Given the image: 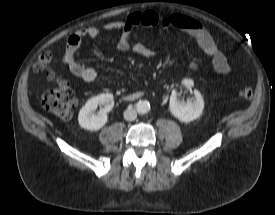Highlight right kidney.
<instances>
[{"mask_svg": "<svg viewBox=\"0 0 275 215\" xmlns=\"http://www.w3.org/2000/svg\"><path fill=\"white\" fill-rule=\"evenodd\" d=\"M98 106H104L95 114ZM114 106V98L110 93L100 94L89 99L81 108L78 115L79 125L87 130L97 131L107 123V113Z\"/></svg>", "mask_w": 275, "mask_h": 215, "instance_id": "right-kidney-1", "label": "right kidney"}]
</instances>
